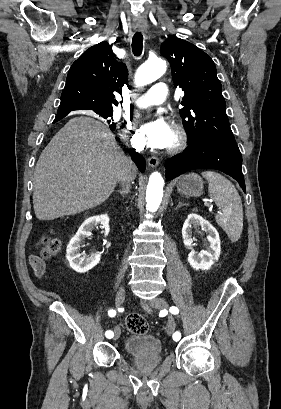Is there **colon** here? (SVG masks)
Masks as SVG:
<instances>
[{
    "mask_svg": "<svg viewBox=\"0 0 281 409\" xmlns=\"http://www.w3.org/2000/svg\"><path fill=\"white\" fill-rule=\"evenodd\" d=\"M53 235L54 234L51 231H48L40 239L41 255H44L45 258L53 257L60 248V241ZM126 325L132 332L136 334H143L148 329L147 321L141 314L137 312H134L127 317Z\"/></svg>",
    "mask_w": 281,
    "mask_h": 409,
    "instance_id": "5ec220e1",
    "label": "colon"
}]
</instances>
